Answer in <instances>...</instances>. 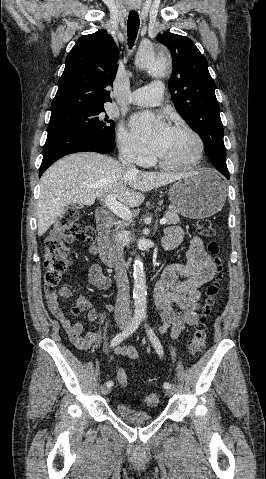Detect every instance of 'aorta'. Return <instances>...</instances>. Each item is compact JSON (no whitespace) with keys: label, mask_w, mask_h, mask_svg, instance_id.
<instances>
[{"label":"aorta","mask_w":266,"mask_h":479,"mask_svg":"<svg viewBox=\"0 0 266 479\" xmlns=\"http://www.w3.org/2000/svg\"><path fill=\"white\" fill-rule=\"evenodd\" d=\"M139 69L149 70L156 76H164L169 67V58L163 48L152 46L148 49H141L135 60ZM133 299L136 314H146L147 291L146 275L143 263L139 256H136L133 263Z\"/></svg>","instance_id":"762f6f07"}]
</instances>
